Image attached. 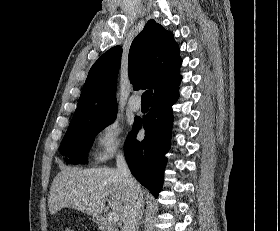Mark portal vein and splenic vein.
<instances>
[{
	"instance_id": "18ae733b",
	"label": "portal vein and splenic vein",
	"mask_w": 280,
	"mask_h": 231,
	"mask_svg": "<svg viewBox=\"0 0 280 231\" xmlns=\"http://www.w3.org/2000/svg\"><path fill=\"white\" fill-rule=\"evenodd\" d=\"M108 217V221H118L119 219V215H117L116 211H109V213H107Z\"/></svg>"
}]
</instances>
